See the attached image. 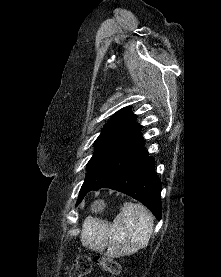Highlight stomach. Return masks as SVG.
Listing matches in <instances>:
<instances>
[{
  "label": "stomach",
  "instance_id": "stomach-1",
  "mask_svg": "<svg viewBox=\"0 0 221 277\" xmlns=\"http://www.w3.org/2000/svg\"><path fill=\"white\" fill-rule=\"evenodd\" d=\"M97 207H101V204H98V206Z\"/></svg>",
  "mask_w": 221,
  "mask_h": 277
}]
</instances>
